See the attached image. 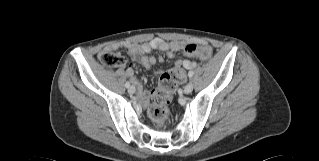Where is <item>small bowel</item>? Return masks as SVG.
<instances>
[{"label":"small bowel","mask_w":319,"mask_h":161,"mask_svg":"<svg viewBox=\"0 0 319 161\" xmlns=\"http://www.w3.org/2000/svg\"><path fill=\"white\" fill-rule=\"evenodd\" d=\"M201 44H205L202 42ZM121 46H124L129 54L136 58L145 68L149 69L157 63V59L148 55L152 50H159L165 52L169 57H173L174 53L183 51L186 44L179 40H164L162 38L156 37L150 41H146L144 43H113L107 45L103 53L110 50H117ZM196 66V62L194 59H183L177 60L175 62V67L182 68V77L183 82L186 80V71L194 68ZM125 75L131 79V82L134 86H136L138 91V104L146 105L148 102V93L142 88L141 83L135 77V70L133 67H128L125 70Z\"/></svg>","instance_id":"small-bowel-1"}]
</instances>
